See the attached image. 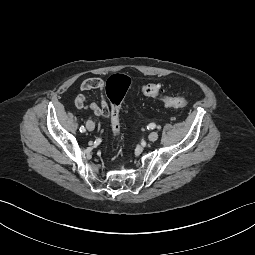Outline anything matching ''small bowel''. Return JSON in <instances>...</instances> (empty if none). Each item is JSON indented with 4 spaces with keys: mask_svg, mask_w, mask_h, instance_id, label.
I'll list each match as a JSON object with an SVG mask.
<instances>
[{
    "mask_svg": "<svg viewBox=\"0 0 255 255\" xmlns=\"http://www.w3.org/2000/svg\"><path fill=\"white\" fill-rule=\"evenodd\" d=\"M94 90H99L101 92V99L100 102H91L90 108L96 116L102 117H109L111 115L112 107L108 105L104 90H105V83L100 78H89L85 80L81 84V91L82 94H79L75 98V105L77 108H84L86 105V96L85 94Z\"/></svg>",
    "mask_w": 255,
    "mask_h": 255,
    "instance_id": "c3829d8e",
    "label": "small bowel"
}]
</instances>
